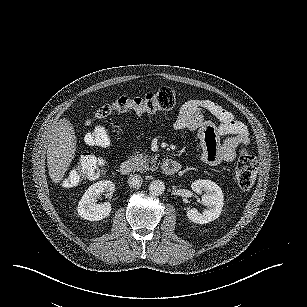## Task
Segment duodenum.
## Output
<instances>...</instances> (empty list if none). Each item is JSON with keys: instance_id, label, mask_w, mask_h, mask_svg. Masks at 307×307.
I'll use <instances>...</instances> for the list:
<instances>
[{"instance_id": "duodenum-1", "label": "duodenum", "mask_w": 307, "mask_h": 307, "mask_svg": "<svg viewBox=\"0 0 307 307\" xmlns=\"http://www.w3.org/2000/svg\"><path fill=\"white\" fill-rule=\"evenodd\" d=\"M132 163L125 160L120 164V173L122 175H129L132 172ZM162 172L166 175H174L181 169V164L173 159H166L161 166Z\"/></svg>"}]
</instances>
